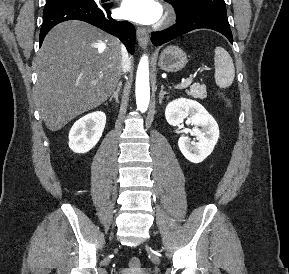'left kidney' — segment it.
I'll list each match as a JSON object with an SVG mask.
<instances>
[{
  "label": "left kidney",
  "mask_w": 289,
  "mask_h": 274,
  "mask_svg": "<svg viewBox=\"0 0 289 274\" xmlns=\"http://www.w3.org/2000/svg\"><path fill=\"white\" fill-rule=\"evenodd\" d=\"M165 117L172 126H180L185 118L195 126L191 134L196 136L197 142H191L184 135L178 140L179 149L186 159L200 163L212 153L219 138V127L200 103L185 98L173 100L165 109Z\"/></svg>",
  "instance_id": "5707ae66"
}]
</instances>
